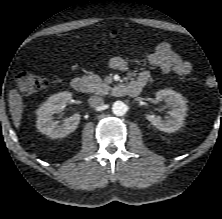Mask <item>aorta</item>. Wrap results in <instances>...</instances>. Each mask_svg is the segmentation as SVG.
<instances>
[{
    "mask_svg": "<svg viewBox=\"0 0 222 219\" xmlns=\"http://www.w3.org/2000/svg\"><path fill=\"white\" fill-rule=\"evenodd\" d=\"M127 111L126 105L122 101H116L112 105V112L116 116H123Z\"/></svg>",
    "mask_w": 222,
    "mask_h": 219,
    "instance_id": "1",
    "label": "aorta"
}]
</instances>
